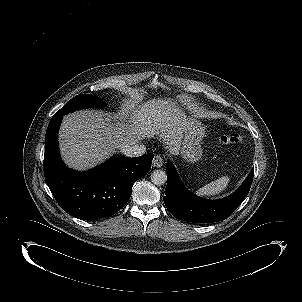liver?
Returning a JSON list of instances; mask_svg holds the SVG:
<instances>
[{"mask_svg": "<svg viewBox=\"0 0 302 302\" xmlns=\"http://www.w3.org/2000/svg\"><path fill=\"white\" fill-rule=\"evenodd\" d=\"M184 113L171 100L128 102L113 117L92 110L64 116L59 131L60 151L71 168L86 170L109 158L116 150L157 137L170 154H179Z\"/></svg>", "mask_w": 302, "mask_h": 302, "instance_id": "obj_1", "label": "liver"}]
</instances>
